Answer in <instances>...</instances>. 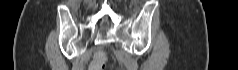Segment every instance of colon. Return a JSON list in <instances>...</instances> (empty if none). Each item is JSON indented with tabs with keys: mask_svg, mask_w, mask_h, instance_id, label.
Returning a JSON list of instances; mask_svg holds the SVG:
<instances>
[{
	"mask_svg": "<svg viewBox=\"0 0 238 70\" xmlns=\"http://www.w3.org/2000/svg\"><path fill=\"white\" fill-rule=\"evenodd\" d=\"M106 56L103 52H97L90 64L89 70H104L106 66Z\"/></svg>",
	"mask_w": 238,
	"mask_h": 70,
	"instance_id": "1",
	"label": "colon"
}]
</instances>
